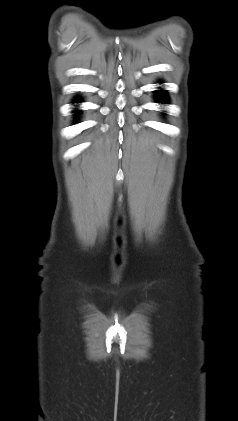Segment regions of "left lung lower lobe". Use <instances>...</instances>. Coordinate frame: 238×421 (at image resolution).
<instances>
[{
    "label": "left lung lower lobe",
    "instance_id": "left-lung-lower-lobe-1",
    "mask_svg": "<svg viewBox=\"0 0 238 421\" xmlns=\"http://www.w3.org/2000/svg\"><path fill=\"white\" fill-rule=\"evenodd\" d=\"M161 93H162V91H161ZM160 98H163V95H160Z\"/></svg>",
    "mask_w": 238,
    "mask_h": 421
}]
</instances>
